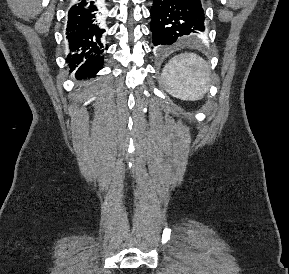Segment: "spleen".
Here are the masks:
<instances>
[{"label":"spleen","mask_w":289,"mask_h":274,"mask_svg":"<svg viewBox=\"0 0 289 274\" xmlns=\"http://www.w3.org/2000/svg\"><path fill=\"white\" fill-rule=\"evenodd\" d=\"M210 70L206 62L194 53L173 57L162 71L166 91L181 100H200L208 91Z\"/></svg>","instance_id":"spleen-1"}]
</instances>
